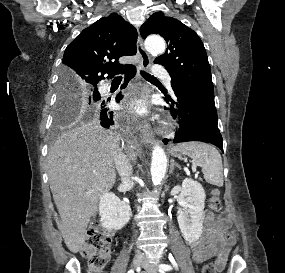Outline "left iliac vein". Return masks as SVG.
Segmentation results:
<instances>
[{
  "instance_id": "1",
  "label": "left iliac vein",
  "mask_w": 285,
  "mask_h": 273,
  "mask_svg": "<svg viewBox=\"0 0 285 273\" xmlns=\"http://www.w3.org/2000/svg\"><path fill=\"white\" fill-rule=\"evenodd\" d=\"M142 266L148 273H158V268L155 264L144 261Z\"/></svg>"
}]
</instances>
